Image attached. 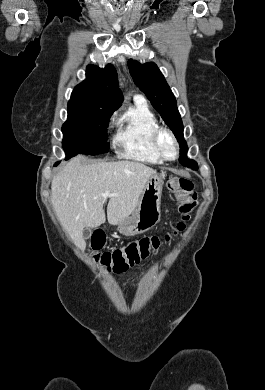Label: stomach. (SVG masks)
Masks as SVG:
<instances>
[{"label":"stomach","instance_id":"stomach-1","mask_svg":"<svg viewBox=\"0 0 265 390\" xmlns=\"http://www.w3.org/2000/svg\"><path fill=\"white\" fill-rule=\"evenodd\" d=\"M164 176L152 175L147 181L135 210L118 223V230L125 236L144 233L160 220V204Z\"/></svg>","mask_w":265,"mask_h":390}]
</instances>
